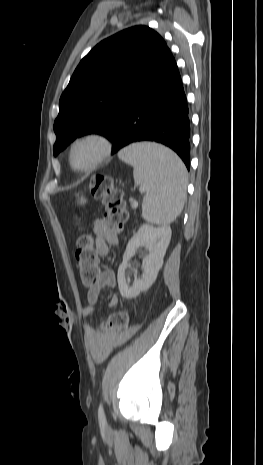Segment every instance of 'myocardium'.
Returning a JSON list of instances; mask_svg holds the SVG:
<instances>
[{
    "label": "myocardium",
    "instance_id": "myocardium-1",
    "mask_svg": "<svg viewBox=\"0 0 263 465\" xmlns=\"http://www.w3.org/2000/svg\"><path fill=\"white\" fill-rule=\"evenodd\" d=\"M87 140L97 141L101 146V151L97 158L85 168H77L73 163V150L79 143ZM113 149V143L110 137L101 131H88L72 140L68 149V161L71 168L80 173H90L99 168L110 156Z\"/></svg>",
    "mask_w": 263,
    "mask_h": 465
}]
</instances>
